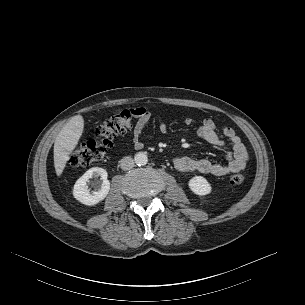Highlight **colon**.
I'll use <instances>...</instances> for the list:
<instances>
[{"mask_svg": "<svg viewBox=\"0 0 305 305\" xmlns=\"http://www.w3.org/2000/svg\"><path fill=\"white\" fill-rule=\"evenodd\" d=\"M133 114L130 110H123L106 118L96 129L95 140L83 145H77L70 154L69 162L73 166L87 167L101 161L107 151L113 146L114 139L125 133L131 126ZM244 182L241 174L231 176L232 185Z\"/></svg>", "mask_w": 305, "mask_h": 305, "instance_id": "colon-1", "label": "colon"}]
</instances>
